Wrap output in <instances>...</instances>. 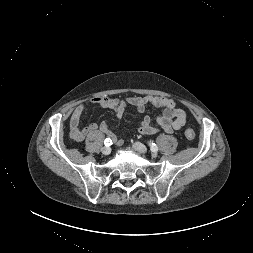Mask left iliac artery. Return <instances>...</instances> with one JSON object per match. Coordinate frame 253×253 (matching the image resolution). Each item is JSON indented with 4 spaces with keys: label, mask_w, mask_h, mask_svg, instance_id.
<instances>
[{
    "label": "left iliac artery",
    "mask_w": 253,
    "mask_h": 253,
    "mask_svg": "<svg viewBox=\"0 0 253 253\" xmlns=\"http://www.w3.org/2000/svg\"><path fill=\"white\" fill-rule=\"evenodd\" d=\"M149 147H150V150L152 152H157L158 151L157 145L155 143L151 142V141L149 142Z\"/></svg>",
    "instance_id": "44dca946"
}]
</instances>
